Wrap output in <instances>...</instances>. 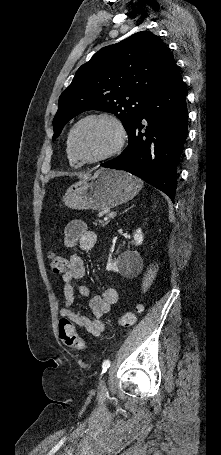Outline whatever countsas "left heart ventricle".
<instances>
[{
  "instance_id": "obj_1",
  "label": "left heart ventricle",
  "mask_w": 221,
  "mask_h": 455,
  "mask_svg": "<svg viewBox=\"0 0 221 455\" xmlns=\"http://www.w3.org/2000/svg\"><path fill=\"white\" fill-rule=\"evenodd\" d=\"M116 142L114 128L107 122L92 120L80 126L75 148L83 158H94L106 153Z\"/></svg>"
}]
</instances>
